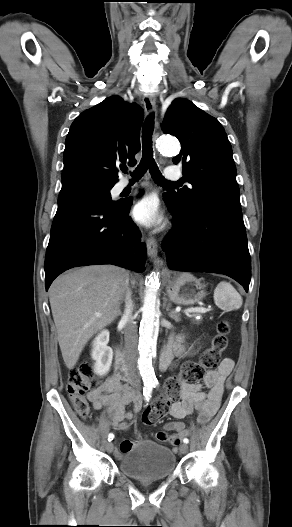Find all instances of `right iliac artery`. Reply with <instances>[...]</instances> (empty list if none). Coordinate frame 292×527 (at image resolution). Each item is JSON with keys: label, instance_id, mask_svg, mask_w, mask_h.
Here are the masks:
<instances>
[{"label": "right iliac artery", "instance_id": "1", "mask_svg": "<svg viewBox=\"0 0 292 527\" xmlns=\"http://www.w3.org/2000/svg\"><path fill=\"white\" fill-rule=\"evenodd\" d=\"M153 387L154 386L152 384H146L145 387L143 388V396L146 401L150 400ZM114 437H115L114 434L110 433L108 435V441H112Z\"/></svg>", "mask_w": 292, "mask_h": 527}]
</instances>
